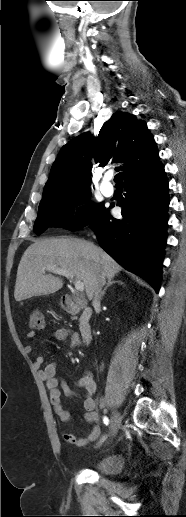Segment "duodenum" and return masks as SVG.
<instances>
[{
    "mask_svg": "<svg viewBox=\"0 0 186 517\" xmlns=\"http://www.w3.org/2000/svg\"><path fill=\"white\" fill-rule=\"evenodd\" d=\"M64 309L67 313H80L79 316V332L84 343H89L92 338V329L90 319L93 314V309L90 306L79 304L74 301L70 295H64L62 298Z\"/></svg>",
    "mask_w": 186,
    "mask_h": 517,
    "instance_id": "obj_1",
    "label": "duodenum"
}]
</instances>
